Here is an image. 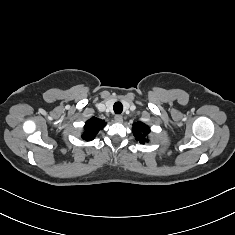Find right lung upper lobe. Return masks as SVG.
<instances>
[{"instance_id":"cb5924a9","label":"right lung upper lobe","mask_w":235,"mask_h":235,"mask_svg":"<svg viewBox=\"0 0 235 235\" xmlns=\"http://www.w3.org/2000/svg\"><path fill=\"white\" fill-rule=\"evenodd\" d=\"M105 121L99 118L93 117L89 119L84 126L85 133L82 135V138L86 141L93 140L96 134L105 126Z\"/></svg>"}]
</instances>
